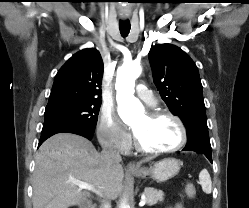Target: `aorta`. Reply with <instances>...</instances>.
I'll list each match as a JSON object with an SVG mask.
<instances>
[{"label":"aorta","mask_w":249,"mask_h":208,"mask_svg":"<svg viewBox=\"0 0 249 208\" xmlns=\"http://www.w3.org/2000/svg\"><path fill=\"white\" fill-rule=\"evenodd\" d=\"M141 66L136 63L123 64L117 71L116 99L118 113L124 123H130L144 112L141 102L134 97L135 80L141 74ZM119 208H130L127 201L123 200Z\"/></svg>","instance_id":"762f6f07"}]
</instances>
